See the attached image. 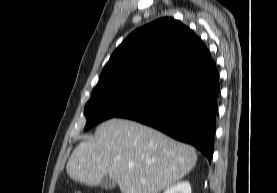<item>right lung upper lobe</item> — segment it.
Returning <instances> with one entry per match:
<instances>
[{
  "instance_id": "obj_1",
  "label": "right lung upper lobe",
  "mask_w": 277,
  "mask_h": 193,
  "mask_svg": "<svg viewBox=\"0 0 277 193\" xmlns=\"http://www.w3.org/2000/svg\"><path fill=\"white\" fill-rule=\"evenodd\" d=\"M210 60L208 49L192 30L174 18H160L118 46L93 91L124 86L158 89Z\"/></svg>"
}]
</instances>
